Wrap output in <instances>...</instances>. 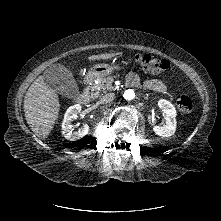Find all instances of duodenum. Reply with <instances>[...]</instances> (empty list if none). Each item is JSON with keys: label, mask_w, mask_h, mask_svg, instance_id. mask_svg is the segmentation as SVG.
I'll list each match as a JSON object with an SVG mask.
<instances>
[{"label": "duodenum", "mask_w": 221, "mask_h": 221, "mask_svg": "<svg viewBox=\"0 0 221 221\" xmlns=\"http://www.w3.org/2000/svg\"><path fill=\"white\" fill-rule=\"evenodd\" d=\"M90 81H91L90 78H86V79L84 80V85L89 84ZM78 101H79V103H81V104H83V105H89V104H91V102H92V97H91V95L89 94L88 91H84V92H82V93L80 94V96L78 97Z\"/></svg>", "instance_id": "410a0bca"}]
</instances>
